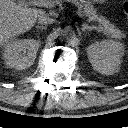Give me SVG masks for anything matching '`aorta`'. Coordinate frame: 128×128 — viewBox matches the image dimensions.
<instances>
[{
    "instance_id": "762f6f07",
    "label": "aorta",
    "mask_w": 128,
    "mask_h": 128,
    "mask_svg": "<svg viewBox=\"0 0 128 128\" xmlns=\"http://www.w3.org/2000/svg\"><path fill=\"white\" fill-rule=\"evenodd\" d=\"M73 31L69 28H65L61 31L60 38L62 41L68 42L73 38Z\"/></svg>"
}]
</instances>
